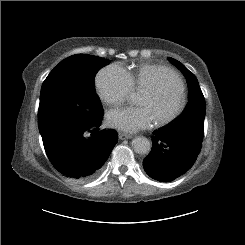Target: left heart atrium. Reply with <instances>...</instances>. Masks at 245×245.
Returning <instances> with one entry per match:
<instances>
[{"label":"left heart atrium","mask_w":245,"mask_h":245,"mask_svg":"<svg viewBox=\"0 0 245 245\" xmlns=\"http://www.w3.org/2000/svg\"><path fill=\"white\" fill-rule=\"evenodd\" d=\"M154 120L147 107H122L111 110L107 114L106 123L110 128L126 133H135L151 127Z\"/></svg>","instance_id":"left-heart-atrium-1"}]
</instances>
